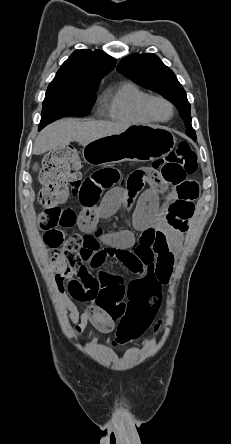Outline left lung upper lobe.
I'll return each mask as SVG.
<instances>
[{"mask_svg": "<svg viewBox=\"0 0 231 444\" xmlns=\"http://www.w3.org/2000/svg\"><path fill=\"white\" fill-rule=\"evenodd\" d=\"M117 71L136 84L170 99L185 120L186 134L196 140V134L191 125L190 103L185 90L173 71L165 66L155 54H132L119 63Z\"/></svg>", "mask_w": 231, "mask_h": 444, "instance_id": "1", "label": "left lung upper lobe"}]
</instances>
